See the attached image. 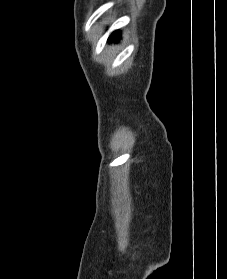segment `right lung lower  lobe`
Masks as SVG:
<instances>
[{
    "label": "right lung lower lobe",
    "instance_id": "right-lung-lower-lobe-1",
    "mask_svg": "<svg viewBox=\"0 0 227 279\" xmlns=\"http://www.w3.org/2000/svg\"><path fill=\"white\" fill-rule=\"evenodd\" d=\"M120 38V33L119 31H115L111 34V36L109 37L108 41L109 42H114L117 41Z\"/></svg>",
    "mask_w": 227,
    "mask_h": 279
}]
</instances>
